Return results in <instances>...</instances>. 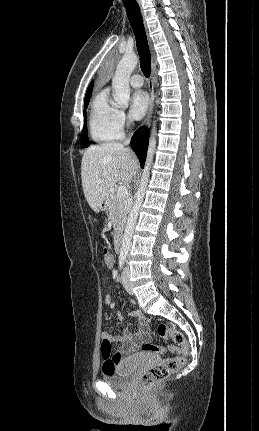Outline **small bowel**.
<instances>
[{"instance_id":"c3829d8e","label":"small bowel","mask_w":259,"mask_h":431,"mask_svg":"<svg viewBox=\"0 0 259 431\" xmlns=\"http://www.w3.org/2000/svg\"><path fill=\"white\" fill-rule=\"evenodd\" d=\"M104 303L107 306L113 304V298L111 295H107L104 299ZM131 317L136 318L139 321V329L134 332L130 329L124 331L121 335H112L107 332H103L101 335L102 341H108L110 344L119 343L120 348L116 352H112L105 356L103 369L106 364L113 366V368L119 367L120 365L134 362L138 357L137 350L146 341L150 339L148 327L144 321V316L139 311H133L130 313Z\"/></svg>"}]
</instances>
